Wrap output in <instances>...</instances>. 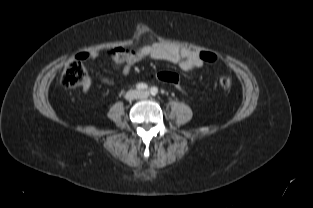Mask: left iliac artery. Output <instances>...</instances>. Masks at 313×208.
Segmentation results:
<instances>
[{
    "mask_svg": "<svg viewBox=\"0 0 313 208\" xmlns=\"http://www.w3.org/2000/svg\"><path fill=\"white\" fill-rule=\"evenodd\" d=\"M150 93H151L153 96L157 95V94H158V88H157V87H152V88L150 89Z\"/></svg>",
    "mask_w": 313,
    "mask_h": 208,
    "instance_id": "obj_1",
    "label": "left iliac artery"
}]
</instances>
